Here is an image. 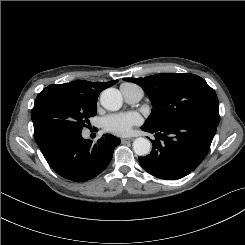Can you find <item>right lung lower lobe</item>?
I'll use <instances>...</instances> for the list:
<instances>
[{
  "instance_id": "98d812e1",
  "label": "right lung lower lobe",
  "mask_w": 245,
  "mask_h": 245,
  "mask_svg": "<svg viewBox=\"0 0 245 245\" xmlns=\"http://www.w3.org/2000/svg\"><path fill=\"white\" fill-rule=\"evenodd\" d=\"M120 139L105 134L95 144L81 132L56 133L39 144L50 167L61 177L83 182L99 175L110 163Z\"/></svg>"
}]
</instances>
